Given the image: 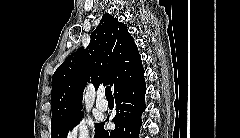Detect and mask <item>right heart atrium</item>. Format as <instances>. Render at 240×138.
Wrapping results in <instances>:
<instances>
[{
    "mask_svg": "<svg viewBox=\"0 0 240 138\" xmlns=\"http://www.w3.org/2000/svg\"><path fill=\"white\" fill-rule=\"evenodd\" d=\"M67 138H90L91 128L88 122L79 120L74 123L66 132Z\"/></svg>",
    "mask_w": 240,
    "mask_h": 138,
    "instance_id": "right-heart-atrium-1",
    "label": "right heart atrium"
}]
</instances>
